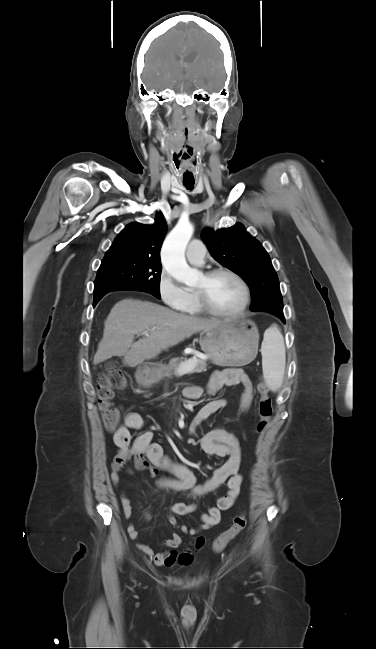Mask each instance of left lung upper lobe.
I'll list each match as a JSON object with an SVG mask.
<instances>
[{
	"label": "left lung upper lobe",
	"instance_id": "5c2ea615",
	"mask_svg": "<svg viewBox=\"0 0 376 649\" xmlns=\"http://www.w3.org/2000/svg\"><path fill=\"white\" fill-rule=\"evenodd\" d=\"M201 236L212 257L248 284L252 297L250 309L267 311L282 320L283 301L278 276L261 243L240 223L216 232L205 228Z\"/></svg>",
	"mask_w": 376,
	"mask_h": 649
}]
</instances>
